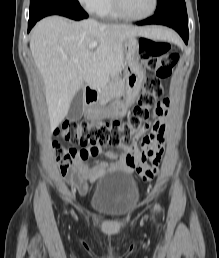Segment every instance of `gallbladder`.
<instances>
[{"instance_id": "1", "label": "gallbladder", "mask_w": 219, "mask_h": 258, "mask_svg": "<svg viewBox=\"0 0 219 258\" xmlns=\"http://www.w3.org/2000/svg\"><path fill=\"white\" fill-rule=\"evenodd\" d=\"M84 112L83 92L80 89L71 100L67 119L70 121H78L82 118Z\"/></svg>"}]
</instances>
